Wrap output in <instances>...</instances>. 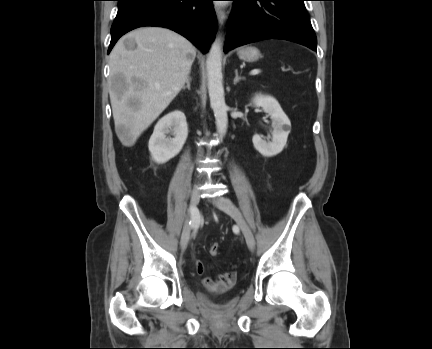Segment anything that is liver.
<instances>
[{
	"label": "liver",
	"mask_w": 432,
	"mask_h": 349,
	"mask_svg": "<svg viewBox=\"0 0 432 349\" xmlns=\"http://www.w3.org/2000/svg\"><path fill=\"white\" fill-rule=\"evenodd\" d=\"M133 39L135 49L124 41ZM195 47L161 27H143L123 36L110 53L109 95L115 131L122 145L133 146L184 86Z\"/></svg>",
	"instance_id": "1"
}]
</instances>
